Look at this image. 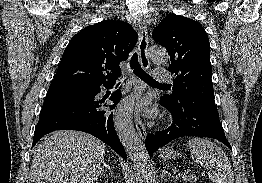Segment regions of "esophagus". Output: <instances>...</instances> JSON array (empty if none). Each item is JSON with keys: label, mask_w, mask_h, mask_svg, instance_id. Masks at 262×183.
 <instances>
[{"label": "esophagus", "mask_w": 262, "mask_h": 183, "mask_svg": "<svg viewBox=\"0 0 262 183\" xmlns=\"http://www.w3.org/2000/svg\"><path fill=\"white\" fill-rule=\"evenodd\" d=\"M138 27H139V44H138L139 60L142 67L144 69H148L150 67V61L147 54L148 43H149L148 30L145 23L140 20L138 22ZM136 87L139 91L142 90L141 86L136 85ZM134 122L139 136L142 139H145L147 136V132L144 123L140 119V115L138 111H136Z\"/></svg>", "instance_id": "1"}]
</instances>
